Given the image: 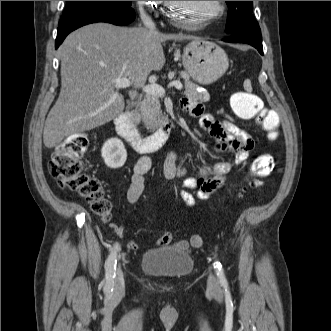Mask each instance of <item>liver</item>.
Instances as JSON below:
<instances>
[{
  "mask_svg": "<svg viewBox=\"0 0 331 331\" xmlns=\"http://www.w3.org/2000/svg\"><path fill=\"white\" fill-rule=\"evenodd\" d=\"M191 39L196 37L106 23L69 34L59 48L61 91L45 122L44 145L53 148L72 134L113 120L125 106L114 80L128 78L136 92L152 70L164 66L162 42Z\"/></svg>",
  "mask_w": 331,
  "mask_h": 331,
  "instance_id": "obj_1",
  "label": "liver"
}]
</instances>
